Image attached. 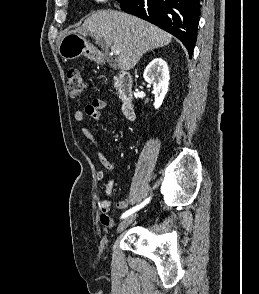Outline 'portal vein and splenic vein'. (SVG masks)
<instances>
[{
	"instance_id": "obj_1",
	"label": "portal vein and splenic vein",
	"mask_w": 259,
	"mask_h": 294,
	"mask_svg": "<svg viewBox=\"0 0 259 294\" xmlns=\"http://www.w3.org/2000/svg\"><path fill=\"white\" fill-rule=\"evenodd\" d=\"M111 51H112L115 55H119V54H120V49H118V48H116V47H114V46L111 47Z\"/></svg>"
}]
</instances>
